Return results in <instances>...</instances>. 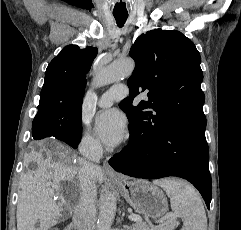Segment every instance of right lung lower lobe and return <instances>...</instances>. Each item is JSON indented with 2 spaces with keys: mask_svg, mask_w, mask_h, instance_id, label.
Here are the masks:
<instances>
[{
  "mask_svg": "<svg viewBox=\"0 0 241 230\" xmlns=\"http://www.w3.org/2000/svg\"><path fill=\"white\" fill-rule=\"evenodd\" d=\"M71 145V147H73V148H77L78 147V143L77 144H74V143H70Z\"/></svg>",
  "mask_w": 241,
  "mask_h": 230,
  "instance_id": "obj_1",
  "label": "right lung lower lobe"
}]
</instances>
